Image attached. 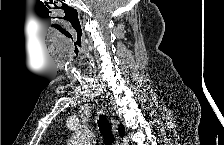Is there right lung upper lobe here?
Returning a JSON list of instances; mask_svg holds the SVG:
<instances>
[{
    "label": "right lung upper lobe",
    "instance_id": "obj_1",
    "mask_svg": "<svg viewBox=\"0 0 224 145\" xmlns=\"http://www.w3.org/2000/svg\"><path fill=\"white\" fill-rule=\"evenodd\" d=\"M124 133H125L124 127H123V125H121V128L119 129V134L121 137H123Z\"/></svg>",
    "mask_w": 224,
    "mask_h": 145
}]
</instances>
